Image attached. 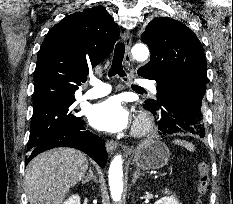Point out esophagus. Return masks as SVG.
<instances>
[{
    "label": "esophagus",
    "mask_w": 233,
    "mask_h": 204,
    "mask_svg": "<svg viewBox=\"0 0 233 204\" xmlns=\"http://www.w3.org/2000/svg\"><path fill=\"white\" fill-rule=\"evenodd\" d=\"M122 38L124 40L125 48H126V53H125V63L127 65L130 64L131 61V56H130V48H131V43H132V36L129 31H125L122 35ZM117 142L114 140H108L106 142V150L108 152H113L117 149Z\"/></svg>",
    "instance_id": "obj_1"
}]
</instances>
